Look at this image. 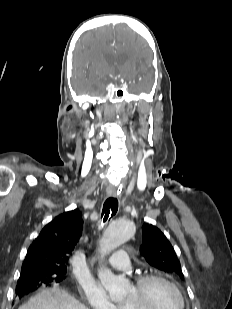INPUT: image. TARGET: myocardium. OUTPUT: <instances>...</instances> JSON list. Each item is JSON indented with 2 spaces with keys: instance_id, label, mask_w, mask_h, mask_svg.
I'll return each mask as SVG.
<instances>
[{
  "instance_id": "f54148a6",
  "label": "myocardium",
  "mask_w": 232,
  "mask_h": 309,
  "mask_svg": "<svg viewBox=\"0 0 232 309\" xmlns=\"http://www.w3.org/2000/svg\"><path fill=\"white\" fill-rule=\"evenodd\" d=\"M152 281H161L169 285L173 290L177 293L180 298V309L185 308V298L184 295L179 288V286L170 278L160 273H145L138 275L134 282L133 287L137 292V297L134 301L125 302L123 305L126 309H147L146 307V297L145 290L147 285Z\"/></svg>"
}]
</instances>
